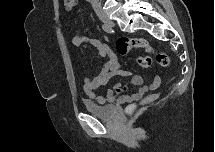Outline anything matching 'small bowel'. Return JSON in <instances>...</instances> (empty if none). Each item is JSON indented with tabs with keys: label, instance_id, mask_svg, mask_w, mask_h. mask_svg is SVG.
Wrapping results in <instances>:
<instances>
[{
	"label": "small bowel",
	"instance_id": "c3829d8e",
	"mask_svg": "<svg viewBox=\"0 0 215 152\" xmlns=\"http://www.w3.org/2000/svg\"><path fill=\"white\" fill-rule=\"evenodd\" d=\"M71 43L76 48L88 43L105 60L102 72L92 79L88 77L83 79V88L86 94L100 103L137 100L147 92L157 89L160 85L161 80L158 76L149 85H144L141 76L122 70L113 50L108 44L99 39L90 38L86 35H76L72 38ZM117 76L130 77L129 84L115 83L112 88L106 90L105 94H98L99 88L105 86L110 79ZM128 87H136L137 89L132 94H124Z\"/></svg>",
	"mask_w": 215,
	"mask_h": 152
}]
</instances>
